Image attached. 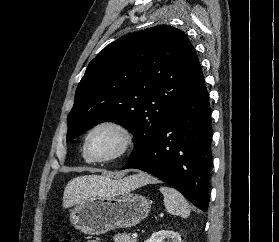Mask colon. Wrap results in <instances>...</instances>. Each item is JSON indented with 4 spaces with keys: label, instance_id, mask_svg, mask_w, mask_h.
Returning <instances> with one entry per match:
<instances>
[{
    "label": "colon",
    "instance_id": "5ec220e1",
    "mask_svg": "<svg viewBox=\"0 0 279 242\" xmlns=\"http://www.w3.org/2000/svg\"><path fill=\"white\" fill-rule=\"evenodd\" d=\"M49 242H73V238L71 234H65L62 236H54L49 240Z\"/></svg>",
    "mask_w": 279,
    "mask_h": 242
}]
</instances>
